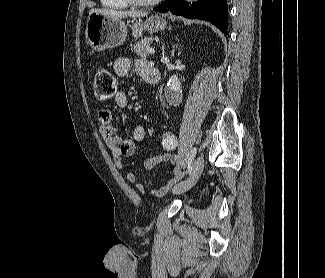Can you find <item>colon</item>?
<instances>
[{"label": "colon", "instance_id": "1", "mask_svg": "<svg viewBox=\"0 0 325 278\" xmlns=\"http://www.w3.org/2000/svg\"><path fill=\"white\" fill-rule=\"evenodd\" d=\"M117 90L116 79L107 69L97 70L93 80V92L95 98L100 102L110 100ZM161 145L167 151H173L177 146V139L174 134L161 138Z\"/></svg>", "mask_w": 325, "mask_h": 278}]
</instances>
